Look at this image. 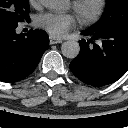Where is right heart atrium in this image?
I'll return each mask as SVG.
<instances>
[{"label": "right heart atrium", "instance_id": "1", "mask_svg": "<svg viewBox=\"0 0 128 128\" xmlns=\"http://www.w3.org/2000/svg\"><path fill=\"white\" fill-rule=\"evenodd\" d=\"M28 2L30 3V5L36 7L40 4V0H28Z\"/></svg>", "mask_w": 128, "mask_h": 128}]
</instances>
